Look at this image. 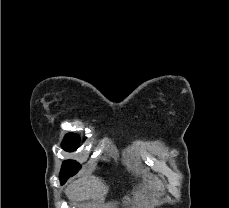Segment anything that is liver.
Instances as JSON below:
<instances>
[{"mask_svg":"<svg viewBox=\"0 0 229 208\" xmlns=\"http://www.w3.org/2000/svg\"><path fill=\"white\" fill-rule=\"evenodd\" d=\"M155 182H150L149 190H164L163 182L159 178H154ZM67 196L69 200H89V198H103L107 194V188L102 184V180L95 176H84L78 178L67 186Z\"/></svg>","mask_w":229,"mask_h":208,"instance_id":"liver-1","label":"liver"}]
</instances>
